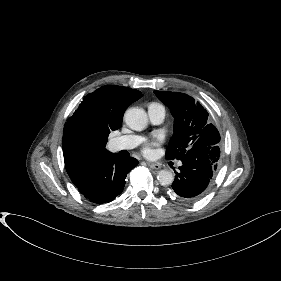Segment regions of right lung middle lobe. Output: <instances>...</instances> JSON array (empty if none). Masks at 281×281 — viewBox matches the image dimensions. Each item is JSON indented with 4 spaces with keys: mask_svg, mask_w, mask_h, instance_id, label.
I'll use <instances>...</instances> for the list:
<instances>
[{
    "mask_svg": "<svg viewBox=\"0 0 281 281\" xmlns=\"http://www.w3.org/2000/svg\"><path fill=\"white\" fill-rule=\"evenodd\" d=\"M108 135V132L94 128L85 115L70 120L66 128L67 143L76 153H89L105 146Z\"/></svg>",
    "mask_w": 281,
    "mask_h": 281,
    "instance_id": "right-lung-middle-lobe-1",
    "label": "right lung middle lobe"
}]
</instances>
